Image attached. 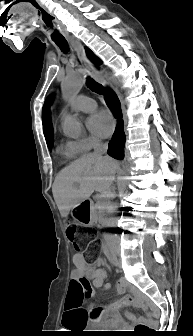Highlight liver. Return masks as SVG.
<instances>
[{
	"label": "liver",
	"mask_w": 193,
	"mask_h": 336,
	"mask_svg": "<svg viewBox=\"0 0 193 336\" xmlns=\"http://www.w3.org/2000/svg\"><path fill=\"white\" fill-rule=\"evenodd\" d=\"M117 162L110 157L87 153L61 170L56 176L52 193L63 218L94 191L106 195L109 177L115 174Z\"/></svg>",
	"instance_id": "6515ba94"
}]
</instances>
